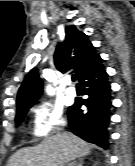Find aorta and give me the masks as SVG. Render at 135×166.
<instances>
[{"label":"aorta","mask_w":135,"mask_h":166,"mask_svg":"<svg viewBox=\"0 0 135 166\" xmlns=\"http://www.w3.org/2000/svg\"><path fill=\"white\" fill-rule=\"evenodd\" d=\"M46 92L49 94V95H53L54 94V90L51 86H47L46 88Z\"/></svg>","instance_id":"aorta-1"}]
</instances>
